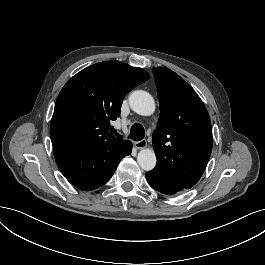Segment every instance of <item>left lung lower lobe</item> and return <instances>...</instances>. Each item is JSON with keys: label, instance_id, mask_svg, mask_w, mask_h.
Instances as JSON below:
<instances>
[{"label": "left lung lower lobe", "instance_id": "obj_1", "mask_svg": "<svg viewBox=\"0 0 265 265\" xmlns=\"http://www.w3.org/2000/svg\"><path fill=\"white\" fill-rule=\"evenodd\" d=\"M146 179L153 189L163 194L173 195L186 190L181 184L155 170L147 172Z\"/></svg>", "mask_w": 265, "mask_h": 265}]
</instances>
